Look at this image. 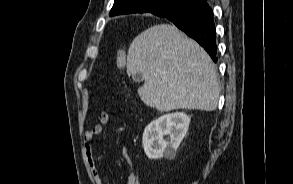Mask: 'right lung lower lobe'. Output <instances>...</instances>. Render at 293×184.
<instances>
[{
  "label": "right lung lower lobe",
  "mask_w": 293,
  "mask_h": 184,
  "mask_svg": "<svg viewBox=\"0 0 293 184\" xmlns=\"http://www.w3.org/2000/svg\"><path fill=\"white\" fill-rule=\"evenodd\" d=\"M173 22L189 37L196 40L216 62V40L213 11L208 4L186 3L163 16Z\"/></svg>",
  "instance_id": "98d812e1"
}]
</instances>
